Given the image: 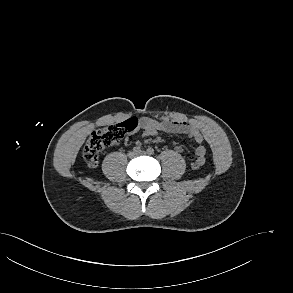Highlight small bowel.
Returning a JSON list of instances; mask_svg holds the SVG:
<instances>
[{
  "label": "small bowel",
  "instance_id": "c3829d8e",
  "mask_svg": "<svg viewBox=\"0 0 293 293\" xmlns=\"http://www.w3.org/2000/svg\"><path fill=\"white\" fill-rule=\"evenodd\" d=\"M139 128L143 136H155L158 133L183 134L192 138L197 143L195 150L197 159L204 157L205 147L203 146V135L198 128L187 121H165L157 120L151 117H142L139 119ZM130 137L125 139L126 144L130 143ZM180 150V147H177Z\"/></svg>",
  "mask_w": 293,
  "mask_h": 293
}]
</instances>
